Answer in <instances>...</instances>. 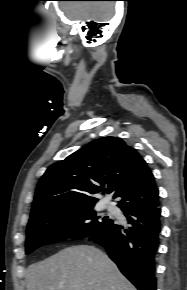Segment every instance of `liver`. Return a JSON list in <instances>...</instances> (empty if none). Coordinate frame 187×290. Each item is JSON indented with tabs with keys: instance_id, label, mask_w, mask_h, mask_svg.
I'll use <instances>...</instances> for the list:
<instances>
[{
	"instance_id": "1",
	"label": "liver",
	"mask_w": 187,
	"mask_h": 290,
	"mask_svg": "<svg viewBox=\"0 0 187 290\" xmlns=\"http://www.w3.org/2000/svg\"><path fill=\"white\" fill-rule=\"evenodd\" d=\"M27 290H137L94 246L65 248L28 267Z\"/></svg>"
}]
</instances>
